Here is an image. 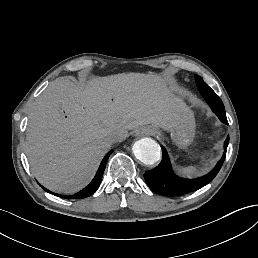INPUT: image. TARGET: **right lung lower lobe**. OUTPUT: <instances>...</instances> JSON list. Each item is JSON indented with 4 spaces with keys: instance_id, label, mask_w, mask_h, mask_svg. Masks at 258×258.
I'll return each instance as SVG.
<instances>
[{
    "instance_id": "right-lung-lower-lobe-1",
    "label": "right lung lower lobe",
    "mask_w": 258,
    "mask_h": 258,
    "mask_svg": "<svg viewBox=\"0 0 258 258\" xmlns=\"http://www.w3.org/2000/svg\"><path fill=\"white\" fill-rule=\"evenodd\" d=\"M111 153H112V150L109 151L105 155V157L103 158V160H102V162L99 166V169H98L94 179L92 180V182L86 188H84L83 190H81L80 192H78L74 195L67 196V195H61V194L53 193V192L49 191L48 189L44 188L43 186H41V185L40 186L45 191L49 192L50 194H53L55 196L65 198V199H80V198L89 197L92 194H94L97 191V189L99 188V185H100V182H101V179H102L105 167H106L107 160H108Z\"/></svg>"
}]
</instances>
